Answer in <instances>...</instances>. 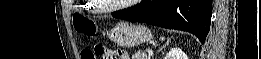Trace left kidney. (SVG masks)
I'll use <instances>...</instances> for the list:
<instances>
[{
	"label": "left kidney",
	"instance_id": "obj_1",
	"mask_svg": "<svg viewBox=\"0 0 261 59\" xmlns=\"http://www.w3.org/2000/svg\"><path fill=\"white\" fill-rule=\"evenodd\" d=\"M164 59H188L187 55L180 48H172Z\"/></svg>",
	"mask_w": 261,
	"mask_h": 59
}]
</instances>
